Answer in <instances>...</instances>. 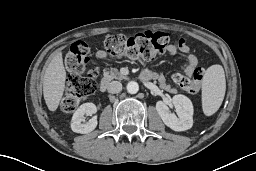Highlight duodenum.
Listing matches in <instances>:
<instances>
[{
    "label": "duodenum",
    "instance_id": "obj_1",
    "mask_svg": "<svg viewBox=\"0 0 256 171\" xmlns=\"http://www.w3.org/2000/svg\"><path fill=\"white\" fill-rule=\"evenodd\" d=\"M110 80H111L110 77H105L101 80L99 85V89L101 92H105L107 90Z\"/></svg>",
    "mask_w": 256,
    "mask_h": 171
}]
</instances>
